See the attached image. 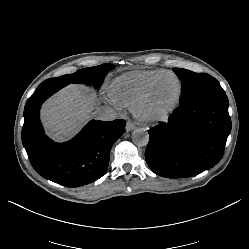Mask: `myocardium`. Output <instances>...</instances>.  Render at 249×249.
<instances>
[{
    "instance_id": "f54148a6",
    "label": "myocardium",
    "mask_w": 249,
    "mask_h": 249,
    "mask_svg": "<svg viewBox=\"0 0 249 249\" xmlns=\"http://www.w3.org/2000/svg\"><path fill=\"white\" fill-rule=\"evenodd\" d=\"M167 77H174L178 81L179 90L176 100L170 106L166 107L162 111L153 114L146 113L144 111V107L149 97L151 96L152 91L161 80ZM183 92H184L183 82L176 73L174 72L163 73L154 78L136 98L131 107L132 114L138 122L143 124H156L167 121L180 105L183 98Z\"/></svg>"
}]
</instances>
